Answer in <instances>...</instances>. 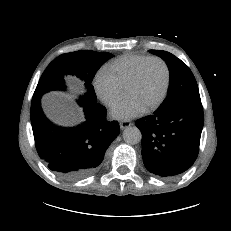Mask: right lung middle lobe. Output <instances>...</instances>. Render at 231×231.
Segmentation results:
<instances>
[{"instance_id":"obj_1","label":"right lung middle lobe","mask_w":231,"mask_h":231,"mask_svg":"<svg viewBox=\"0 0 231 231\" xmlns=\"http://www.w3.org/2000/svg\"><path fill=\"white\" fill-rule=\"evenodd\" d=\"M112 57L113 55L110 53L91 50L62 54L48 65L33 96H42L51 90L64 89V75L72 74L83 80L87 88V93L80 98L79 102H96L97 98L91 82L98 69Z\"/></svg>"}]
</instances>
